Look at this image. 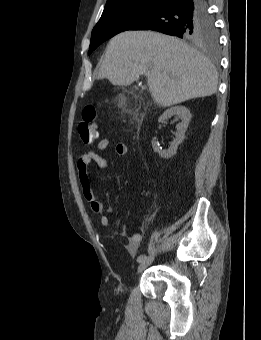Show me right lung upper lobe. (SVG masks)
<instances>
[{"label": "right lung upper lobe", "mask_w": 261, "mask_h": 340, "mask_svg": "<svg viewBox=\"0 0 261 340\" xmlns=\"http://www.w3.org/2000/svg\"><path fill=\"white\" fill-rule=\"evenodd\" d=\"M135 1H142V0H107V3L105 5L104 10H107V9L115 7V6H119V5H124V4L131 3V2H135Z\"/></svg>", "instance_id": "right-lung-upper-lobe-1"}]
</instances>
